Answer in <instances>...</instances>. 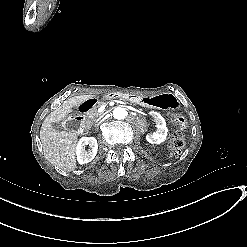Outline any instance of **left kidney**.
<instances>
[{
	"instance_id": "1",
	"label": "left kidney",
	"mask_w": 247,
	"mask_h": 247,
	"mask_svg": "<svg viewBox=\"0 0 247 247\" xmlns=\"http://www.w3.org/2000/svg\"><path fill=\"white\" fill-rule=\"evenodd\" d=\"M151 116L155 117L156 120V130L150 136H146L145 139L149 144H162L167 138V127L164 118L156 113L151 112Z\"/></svg>"
}]
</instances>
